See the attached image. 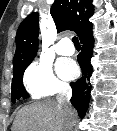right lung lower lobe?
<instances>
[{"instance_id":"98d812e1","label":"right lung lower lobe","mask_w":117,"mask_h":131,"mask_svg":"<svg viewBox=\"0 0 117 131\" xmlns=\"http://www.w3.org/2000/svg\"><path fill=\"white\" fill-rule=\"evenodd\" d=\"M80 41L82 43V52L78 55V62L83 75L70 85L73 91L71 103L78 111L79 116L83 118L89 106L91 92L90 76L92 74V66L90 60L94 47L92 32L80 38Z\"/></svg>"}]
</instances>
